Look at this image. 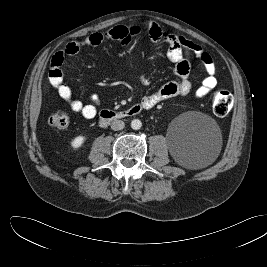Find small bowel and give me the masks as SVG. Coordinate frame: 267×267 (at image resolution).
Listing matches in <instances>:
<instances>
[{
	"label": "small bowel",
	"mask_w": 267,
	"mask_h": 267,
	"mask_svg": "<svg viewBox=\"0 0 267 267\" xmlns=\"http://www.w3.org/2000/svg\"><path fill=\"white\" fill-rule=\"evenodd\" d=\"M140 34H147L153 42H161L167 45V58L174 65L177 76V80L170 81L157 92L143 97L141 104L145 109H151L167 99L185 96L190 92L192 89L190 55L192 54L199 60L206 73V77L196 90L195 97L202 99L217 86L216 68L211 56L200 45L184 37L166 32L154 22L134 26L118 25L105 33H93L82 41L68 43L52 57L48 74L51 86L57 91L61 99L68 103L73 112L86 119L94 118L100 105L98 96L91 95L89 97L91 103L87 104L73 98L72 89L65 83L61 70L64 61L67 57L78 53L82 48L98 46L108 40L124 44ZM140 81L143 85L150 83L146 77H141Z\"/></svg>",
	"instance_id": "1"
}]
</instances>
